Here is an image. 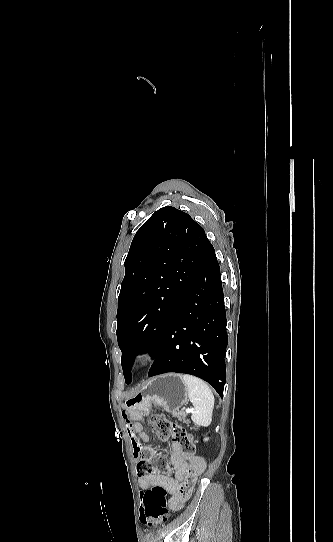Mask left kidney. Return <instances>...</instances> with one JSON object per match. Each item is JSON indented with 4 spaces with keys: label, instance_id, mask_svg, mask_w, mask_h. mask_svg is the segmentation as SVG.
I'll return each mask as SVG.
<instances>
[{
    "label": "left kidney",
    "instance_id": "obj_1",
    "mask_svg": "<svg viewBox=\"0 0 333 542\" xmlns=\"http://www.w3.org/2000/svg\"><path fill=\"white\" fill-rule=\"evenodd\" d=\"M208 438H205V442H207Z\"/></svg>",
    "mask_w": 333,
    "mask_h": 542
}]
</instances>
